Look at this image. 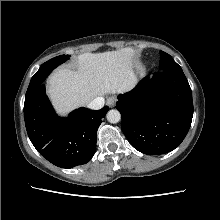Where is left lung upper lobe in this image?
Masks as SVG:
<instances>
[{"mask_svg":"<svg viewBox=\"0 0 220 220\" xmlns=\"http://www.w3.org/2000/svg\"><path fill=\"white\" fill-rule=\"evenodd\" d=\"M159 68L161 71L182 70L181 67L173 60V58L163 51H160Z\"/></svg>","mask_w":220,"mask_h":220,"instance_id":"obj_1","label":"left lung upper lobe"}]
</instances>
